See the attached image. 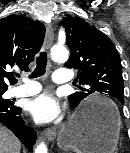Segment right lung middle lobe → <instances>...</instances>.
Masks as SVG:
<instances>
[{"label":"right lung middle lobe","mask_w":130,"mask_h":153,"mask_svg":"<svg viewBox=\"0 0 130 153\" xmlns=\"http://www.w3.org/2000/svg\"><path fill=\"white\" fill-rule=\"evenodd\" d=\"M4 92H5V91H0V101H4V102L9 101V100H5V99L2 98V94H3Z\"/></svg>","instance_id":"obj_1"}]
</instances>
